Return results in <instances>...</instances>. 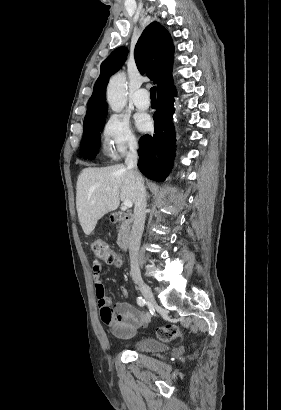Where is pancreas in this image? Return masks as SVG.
Masks as SVG:
<instances>
[{
    "mask_svg": "<svg viewBox=\"0 0 281 410\" xmlns=\"http://www.w3.org/2000/svg\"><path fill=\"white\" fill-rule=\"evenodd\" d=\"M125 215L122 217V223L121 226L119 228V233H118V244L121 245L126 237H127V233H128V223L129 220H125Z\"/></svg>",
    "mask_w": 281,
    "mask_h": 410,
    "instance_id": "pancreas-1",
    "label": "pancreas"
}]
</instances>
